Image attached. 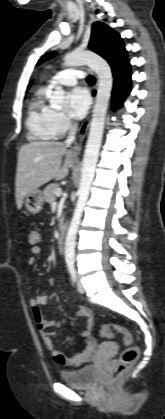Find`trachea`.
Here are the masks:
<instances>
[{"mask_svg":"<svg viewBox=\"0 0 165 419\" xmlns=\"http://www.w3.org/2000/svg\"><path fill=\"white\" fill-rule=\"evenodd\" d=\"M87 82H88L89 84H94V83H95V78H94L93 76L89 75V76L87 77Z\"/></svg>","mask_w":165,"mask_h":419,"instance_id":"trachea-1","label":"trachea"}]
</instances>
